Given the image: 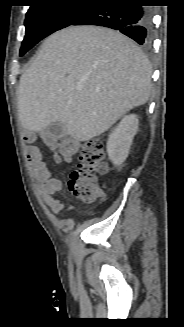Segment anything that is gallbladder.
<instances>
[{"label":"gallbladder","instance_id":"gallbladder-1","mask_svg":"<svg viewBox=\"0 0 184 327\" xmlns=\"http://www.w3.org/2000/svg\"><path fill=\"white\" fill-rule=\"evenodd\" d=\"M66 133L67 131L65 126L60 122L51 124L47 129V134L56 138L63 137L66 135Z\"/></svg>","mask_w":184,"mask_h":327}]
</instances>
